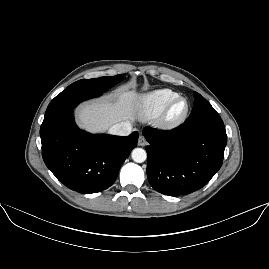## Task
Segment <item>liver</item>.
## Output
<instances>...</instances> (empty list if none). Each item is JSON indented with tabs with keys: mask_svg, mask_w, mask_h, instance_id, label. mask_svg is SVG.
I'll return each instance as SVG.
<instances>
[{
	"mask_svg": "<svg viewBox=\"0 0 269 269\" xmlns=\"http://www.w3.org/2000/svg\"><path fill=\"white\" fill-rule=\"evenodd\" d=\"M110 98L114 102H110ZM137 93L124 87L109 97L86 102L77 109V123L81 128L95 133L107 130L119 122L133 120L136 115Z\"/></svg>",
	"mask_w": 269,
	"mask_h": 269,
	"instance_id": "6515ba94",
	"label": "liver"
}]
</instances>
